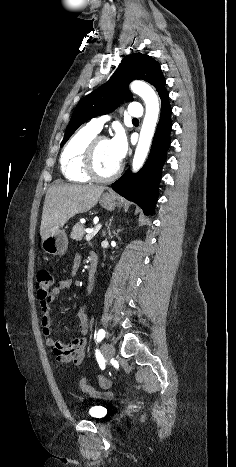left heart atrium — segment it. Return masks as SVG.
Segmentation results:
<instances>
[{"label": "left heart atrium", "instance_id": "obj_1", "mask_svg": "<svg viewBox=\"0 0 236 467\" xmlns=\"http://www.w3.org/2000/svg\"><path fill=\"white\" fill-rule=\"evenodd\" d=\"M111 151L118 162H121L127 153V141L124 132L118 129L109 140Z\"/></svg>", "mask_w": 236, "mask_h": 467}]
</instances>
